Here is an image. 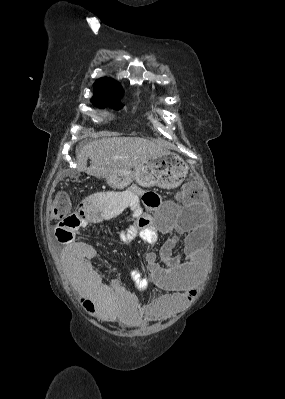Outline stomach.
Returning a JSON list of instances; mask_svg holds the SVG:
<instances>
[{
	"instance_id": "1",
	"label": "stomach",
	"mask_w": 285,
	"mask_h": 399,
	"mask_svg": "<svg viewBox=\"0 0 285 399\" xmlns=\"http://www.w3.org/2000/svg\"><path fill=\"white\" fill-rule=\"evenodd\" d=\"M188 173V166L178 155L164 152L123 173L106 177L113 189H124L135 181L142 187L158 186L173 189L179 186Z\"/></svg>"
}]
</instances>
